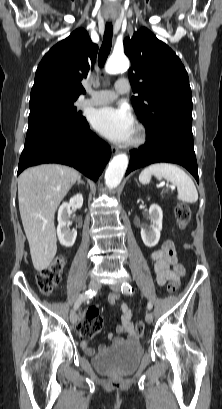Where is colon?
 I'll use <instances>...</instances> for the list:
<instances>
[{
	"label": "colon",
	"instance_id": "colon-1",
	"mask_svg": "<svg viewBox=\"0 0 222 409\" xmlns=\"http://www.w3.org/2000/svg\"><path fill=\"white\" fill-rule=\"evenodd\" d=\"M175 218L177 226L184 229L190 221L191 211L186 203H179L175 207ZM65 267V258L62 255L55 257L50 265L43 269L37 276V286L44 295H51L61 280ZM182 269L178 272L182 273ZM178 288L177 282H170L167 286L169 293H174ZM102 328V319L95 307H89L85 311L84 319L79 325V334L83 339H90ZM137 334L141 337L144 332V324L139 320L136 324Z\"/></svg>",
	"mask_w": 222,
	"mask_h": 409
}]
</instances>
